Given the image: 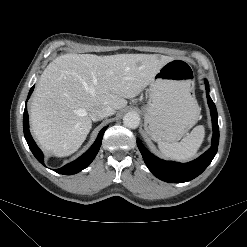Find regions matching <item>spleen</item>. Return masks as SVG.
<instances>
[{
  "label": "spleen",
  "mask_w": 247,
  "mask_h": 247,
  "mask_svg": "<svg viewBox=\"0 0 247 247\" xmlns=\"http://www.w3.org/2000/svg\"><path fill=\"white\" fill-rule=\"evenodd\" d=\"M192 104L197 110L199 107L195 99H191ZM205 136V130L202 125L196 126L180 142H159L158 147L162 154L170 159L177 161H187L195 157Z\"/></svg>",
  "instance_id": "3e777b00"
}]
</instances>
